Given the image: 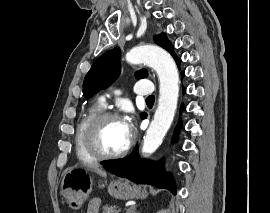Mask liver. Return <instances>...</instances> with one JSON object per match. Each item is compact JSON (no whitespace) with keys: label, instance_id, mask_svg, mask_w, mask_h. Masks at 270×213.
Returning a JSON list of instances; mask_svg holds the SVG:
<instances>
[{"label":"liver","instance_id":"obj_1","mask_svg":"<svg viewBox=\"0 0 270 213\" xmlns=\"http://www.w3.org/2000/svg\"><path fill=\"white\" fill-rule=\"evenodd\" d=\"M90 169L102 177L107 176L106 172L102 170L99 166H91Z\"/></svg>","mask_w":270,"mask_h":213}]
</instances>
